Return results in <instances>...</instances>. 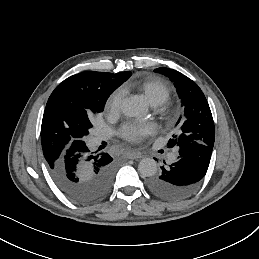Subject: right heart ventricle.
<instances>
[{"instance_id":"right-heart-ventricle-1","label":"right heart ventricle","mask_w":259,"mask_h":259,"mask_svg":"<svg viewBox=\"0 0 259 259\" xmlns=\"http://www.w3.org/2000/svg\"><path fill=\"white\" fill-rule=\"evenodd\" d=\"M144 77L125 82L119 87L120 93L137 91L142 93L153 106L167 102L171 97L170 88L159 80L147 82Z\"/></svg>"}]
</instances>
